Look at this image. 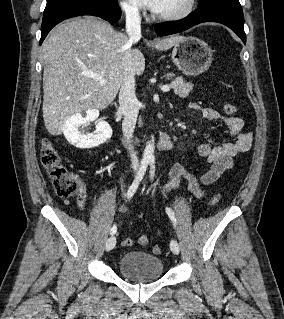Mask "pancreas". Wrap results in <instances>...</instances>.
<instances>
[{
	"label": "pancreas",
	"mask_w": 284,
	"mask_h": 319,
	"mask_svg": "<svg viewBox=\"0 0 284 319\" xmlns=\"http://www.w3.org/2000/svg\"><path fill=\"white\" fill-rule=\"evenodd\" d=\"M173 76H174L173 74H168L167 79H172ZM171 87L174 89V92L176 95L184 98L189 95V92L193 88V84L190 82H186L185 79L180 76L174 79V82L171 85Z\"/></svg>",
	"instance_id": "obj_1"
}]
</instances>
